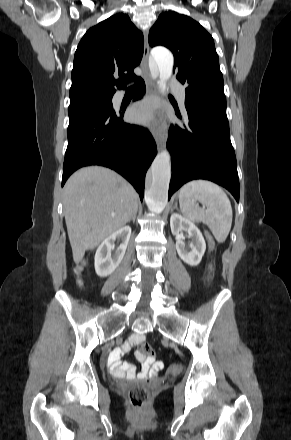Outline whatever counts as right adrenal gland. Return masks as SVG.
I'll return each instance as SVG.
<instances>
[{
    "label": "right adrenal gland",
    "mask_w": 291,
    "mask_h": 440,
    "mask_svg": "<svg viewBox=\"0 0 291 440\" xmlns=\"http://www.w3.org/2000/svg\"><path fill=\"white\" fill-rule=\"evenodd\" d=\"M136 215L132 218V222L135 223Z\"/></svg>",
    "instance_id": "obj_1"
}]
</instances>
